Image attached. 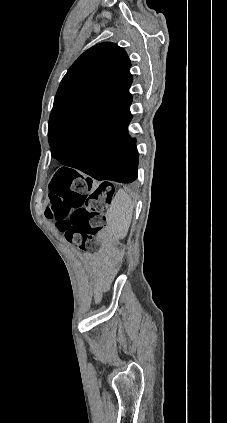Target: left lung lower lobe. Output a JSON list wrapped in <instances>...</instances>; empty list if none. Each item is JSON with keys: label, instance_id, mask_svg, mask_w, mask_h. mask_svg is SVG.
<instances>
[{"label": "left lung lower lobe", "instance_id": "left-lung-lower-lobe-1", "mask_svg": "<svg viewBox=\"0 0 227 423\" xmlns=\"http://www.w3.org/2000/svg\"><path fill=\"white\" fill-rule=\"evenodd\" d=\"M130 112L110 113L87 124L74 135L51 143L52 157L97 180L131 183L137 178L136 140L128 134ZM74 178L75 170L62 168Z\"/></svg>", "mask_w": 227, "mask_h": 423}]
</instances>
